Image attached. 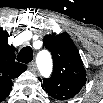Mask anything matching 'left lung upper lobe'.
I'll use <instances>...</instances> for the list:
<instances>
[{
    "instance_id": "5c2ea615",
    "label": "left lung upper lobe",
    "mask_w": 103,
    "mask_h": 103,
    "mask_svg": "<svg viewBox=\"0 0 103 103\" xmlns=\"http://www.w3.org/2000/svg\"><path fill=\"white\" fill-rule=\"evenodd\" d=\"M43 42L53 57V74L43 80V90L59 100L74 97L86 82L78 49L67 33L46 35Z\"/></svg>"
}]
</instances>
